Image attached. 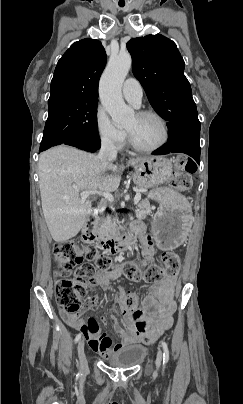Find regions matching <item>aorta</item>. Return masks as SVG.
<instances>
[{
	"label": "aorta",
	"instance_id": "762f6f07",
	"mask_svg": "<svg viewBox=\"0 0 243 404\" xmlns=\"http://www.w3.org/2000/svg\"><path fill=\"white\" fill-rule=\"evenodd\" d=\"M131 64L130 54L120 52L119 56H115V58L110 56L99 84L100 102L116 126H124L134 116L133 108L126 106L121 92Z\"/></svg>",
	"mask_w": 243,
	"mask_h": 404
}]
</instances>
